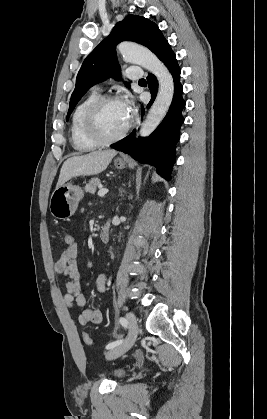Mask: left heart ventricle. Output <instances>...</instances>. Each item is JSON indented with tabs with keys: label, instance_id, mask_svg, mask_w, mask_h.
Returning <instances> with one entry per match:
<instances>
[{
	"label": "left heart ventricle",
	"instance_id": "1",
	"mask_svg": "<svg viewBox=\"0 0 267 419\" xmlns=\"http://www.w3.org/2000/svg\"><path fill=\"white\" fill-rule=\"evenodd\" d=\"M131 118L122 101L106 104L98 115V126L105 136H114L122 131Z\"/></svg>",
	"mask_w": 267,
	"mask_h": 419
}]
</instances>
